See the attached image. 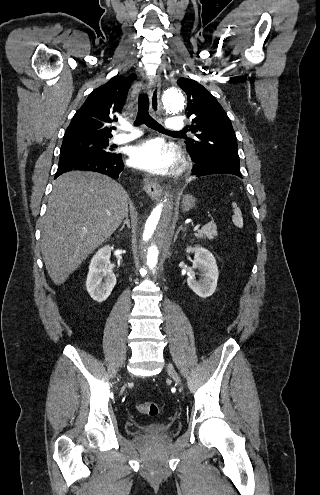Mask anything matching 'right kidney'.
Here are the masks:
<instances>
[{
  "mask_svg": "<svg viewBox=\"0 0 320 495\" xmlns=\"http://www.w3.org/2000/svg\"><path fill=\"white\" fill-rule=\"evenodd\" d=\"M110 255L111 247L106 245L96 252L89 265L86 289L90 297L99 303L109 297L116 285V276L108 268Z\"/></svg>",
  "mask_w": 320,
  "mask_h": 495,
  "instance_id": "right-kidney-1",
  "label": "right kidney"
}]
</instances>
